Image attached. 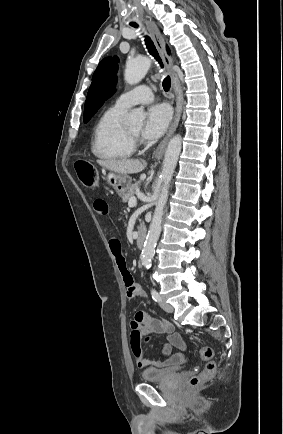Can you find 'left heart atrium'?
<instances>
[{
    "instance_id": "1",
    "label": "left heart atrium",
    "mask_w": 283,
    "mask_h": 434,
    "mask_svg": "<svg viewBox=\"0 0 283 434\" xmlns=\"http://www.w3.org/2000/svg\"><path fill=\"white\" fill-rule=\"evenodd\" d=\"M171 116V109L168 105L156 104L151 106L146 113L142 135L148 140L160 138L168 128Z\"/></svg>"
}]
</instances>
